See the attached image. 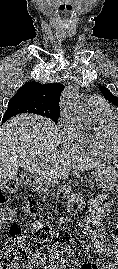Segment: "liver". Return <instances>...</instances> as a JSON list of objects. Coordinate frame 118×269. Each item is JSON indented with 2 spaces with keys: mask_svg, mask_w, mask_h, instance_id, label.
I'll list each match as a JSON object with an SVG mask.
<instances>
[{
  "mask_svg": "<svg viewBox=\"0 0 118 269\" xmlns=\"http://www.w3.org/2000/svg\"><path fill=\"white\" fill-rule=\"evenodd\" d=\"M58 130L52 120L36 114L17 115L0 127V181L16 177L18 168L53 180L66 179L70 170L100 167L68 149L58 151ZM42 171V172H39ZM52 172V177L47 173Z\"/></svg>",
  "mask_w": 118,
  "mask_h": 269,
  "instance_id": "6515ba94",
  "label": "liver"
}]
</instances>
